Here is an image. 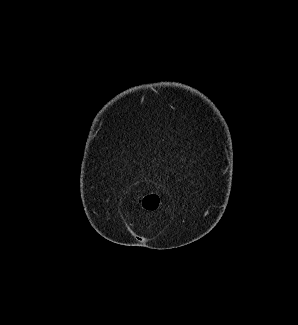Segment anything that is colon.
I'll return each mask as SVG.
<instances>
[{"instance_id": "5ec220e1", "label": "colon", "mask_w": 298, "mask_h": 325, "mask_svg": "<svg viewBox=\"0 0 298 325\" xmlns=\"http://www.w3.org/2000/svg\"><path fill=\"white\" fill-rule=\"evenodd\" d=\"M160 195L157 193L143 194L139 197L138 203L145 210H156L160 205Z\"/></svg>"}]
</instances>
